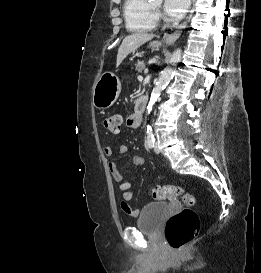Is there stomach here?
<instances>
[{"label":"stomach","instance_id":"0dacf381","mask_svg":"<svg viewBox=\"0 0 261 273\" xmlns=\"http://www.w3.org/2000/svg\"><path fill=\"white\" fill-rule=\"evenodd\" d=\"M161 43L152 42L150 45L158 47ZM121 92V82L112 72H104L93 87V105L98 109L111 107Z\"/></svg>","mask_w":261,"mask_h":273}]
</instances>
